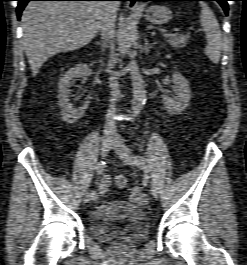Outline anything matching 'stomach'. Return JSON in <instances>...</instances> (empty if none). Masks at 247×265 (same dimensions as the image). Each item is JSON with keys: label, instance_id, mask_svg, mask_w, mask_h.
Wrapping results in <instances>:
<instances>
[{"label": "stomach", "instance_id": "stomach-1", "mask_svg": "<svg viewBox=\"0 0 247 265\" xmlns=\"http://www.w3.org/2000/svg\"><path fill=\"white\" fill-rule=\"evenodd\" d=\"M145 18L153 24L161 25L172 18L171 10L163 5H153L145 10Z\"/></svg>", "mask_w": 247, "mask_h": 265}]
</instances>
